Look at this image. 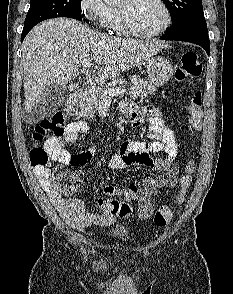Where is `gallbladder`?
<instances>
[{
  "label": "gallbladder",
  "instance_id": "bac80fb5",
  "mask_svg": "<svg viewBox=\"0 0 233 294\" xmlns=\"http://www.w3.org/2000/svg\"><path fill=\"white\" fill-rule=\"evenodd\" d=\"M64 99L63 89H60V87L47 86L40 96L35 108L32 110V118L29 120L39 122L49 117Z\"/></svg>",
  "mask_w": 233,
  "mask_h": 294
}]
</instances>
